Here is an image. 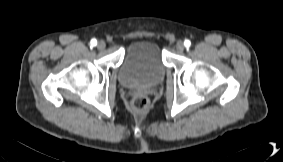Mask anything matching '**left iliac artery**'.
Returning <instances> with one entry per match:
<instances>
[{"mask_svg":"<svg viewBox=\"0 0 283 162\" xmlns=\"http://www.w3.org/2000/svg\"><path fill=\"white\" fill-rule=\"evenodd\" d=\"M184 45H185L187 48L190 47V45H191L190 40H185V41H184Z\"/></svg>","mask_w":283,"mask_h":162,"instance_id":"obj_1","label":"left iliac artery"}]
</instances>
